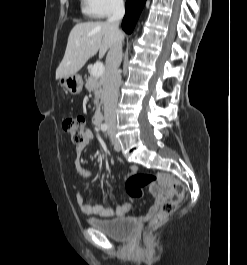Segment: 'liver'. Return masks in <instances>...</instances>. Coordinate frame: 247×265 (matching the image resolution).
<instances>
[{"instance_id":"obj_1","label":"liver","mask_w":247,"mask_h":265,"mask_svg":"<svg viewBox=\"0 0 247 265\" xmlns=\"http://www.w3.org/2000/svg\"><path fill=\"white\" fill-rule=\"evenodd\" d=\"M124 35L108 22L78 23L71 30L64 57L56 70V79L76 74L97 54L102 58L115 41Z\"/></svg>"}]
</instances>
